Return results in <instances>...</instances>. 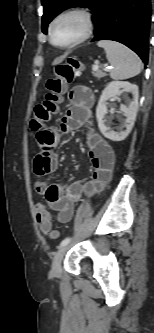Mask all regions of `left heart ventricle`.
Returning a JSON list of instances; mask_svg holds the SVG:
<instances>
[{
    "mask_svg": "<svg viewBox=\"0 0 154 333\" xmlns=\"http://www.w3.org/2000/svg\"><path fill=\"white\" fill-rule=\"evenodd\" d=\"M82 28L83 23L79 17H64L54 26V40L59 44H67L80 35Z\"/></svg>",
    "mask_w": 154,
    "mask_h": 333,
    "instance_id": "left-heart-ventricle-1",
    "label": "left heart ventricle"
}]
</instances>
